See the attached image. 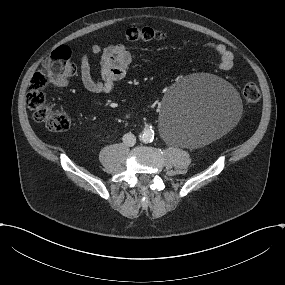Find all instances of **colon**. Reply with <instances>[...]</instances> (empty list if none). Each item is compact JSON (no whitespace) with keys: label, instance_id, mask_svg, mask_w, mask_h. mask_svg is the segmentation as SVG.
<instances>
[{"label":"colon","instance_id":"1","mask_svg":"<svg viewBox=\"0 0 285 285\" xmlns=\"http://www.w3.org/2000/svg\"><path fill=\"white\" fill-rule=\"evenodd\" d=\"M165 37V32L151 27H133L125 33L129 42L161 40ZM75 74L76 66L71 61V51L68 47L61 46L51 53L41 70L36 72L30 81L27 104L33 110L34 119L44 123L52 131L67 130L70 127V118L64 110L54 109L47 103L44 89L49 82L60 85ZM242 95L249 106L257 104L261 98L260 89L253 82L244 86Z\"/></svg>","mask_w":285,"mask_h":285}]
</instances>
